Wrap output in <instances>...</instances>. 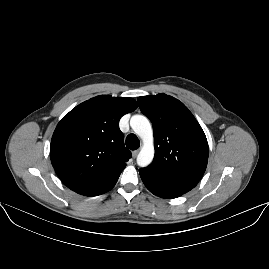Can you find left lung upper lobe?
Listing matches in <instances>:
<instances>
[{"instance_id": "obj_1", "label": "left lung upper lobe", "mask_w": 269, "mask_h": 269, "mask_svg": "<svg viewBox=\"0 0 269 269\" xmlns=\"http://www.w3.org/2000/svg\"><path fill=\"white\" fill-rule=\"evenodd\" d=\"M153 125L155 156L147 173L197 184L208 161L206 136L188 108L164 93L138 98Z\"/></svg>"}]
</instances>
